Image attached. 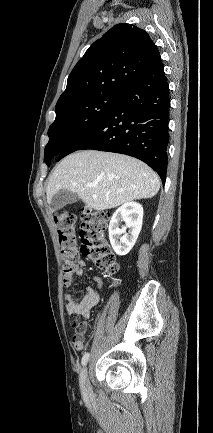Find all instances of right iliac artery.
<instances>
[{"mask_svg": "<svg viewBox=\"0 0 213 433\" xmlns=\"http://www.w3.org/2000/svg\"><path fill=\"white\" fill-rule=\"evenodd\" d=\"M88 360H89V353L87 352L82 357V361H81L82 365L85 366L87 364Z\"/></svg>", "mask_w": 213, "mask_h": 433, "instance_id": "obj_1", "label": "right iliac artery"}]
</instances>
